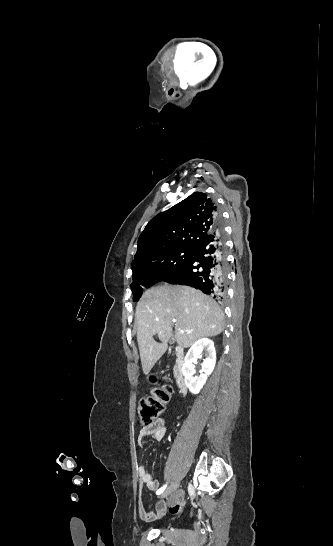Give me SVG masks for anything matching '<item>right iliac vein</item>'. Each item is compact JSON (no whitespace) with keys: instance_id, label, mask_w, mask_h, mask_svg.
<instances>
[{"instance_id":"right-iliac-vein-1","label":"right iliac vein","mask_w":333,"mask_h":546,"mask_svg":"<svg viewBox=\"0 0 333 546\" xmlns=\"http://www.w3.org/2000/svg\"><path fill=\"white\" fill-rule=\"evenodd\" d=\"M179 483L178 482H174L172 483L167 489L166 491L161 495V498H166L167 496H169L170 494H172L178 487Z\"/></svg>"}]
</instances>
